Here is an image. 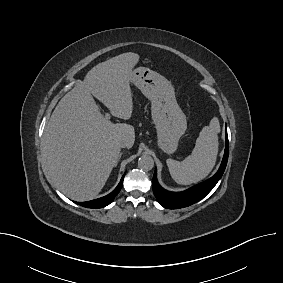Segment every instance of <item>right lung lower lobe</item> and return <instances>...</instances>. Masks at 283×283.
Here are the masks:
<instances>
[{"label":"right lung lower lobe","mask_w":283,"mask_h":283,"mask_svg":"<svg viewBox=\"0 0 283 283\" xmlns=\"http://www.w3.org/2000/svg\"><path fill=\"white\" fill-rule=\"evenodd\" d=\"M123 177L120 180V183L118 184V186L108 195L95 199V200H91V201H87V202H76L78 205L86 207V208H103L107 205H109L113 199L115 198V196L119 193V191L122 188L123 185Z\"/></svg>","instance_id":"1"}]
</instances>
